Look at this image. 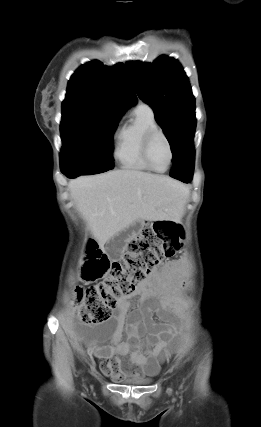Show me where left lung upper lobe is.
Here are the masks:
<instances>
[{"instance_id":"5c2ea615","label":"left lung upper lobe","mask_w":261,"mask_h":427,"mask_svg":"<svg viewBox=\"0 0 261 427\" xmlns=\"http://www.w3.org/2000/svg\"><path fill=\"white\" fill-rule=\"evenodd\" d=\"M131 78L138 96L148 103L155 119L163 129L173 154V163L183 146L193 138L195 98L180 63L160 56L153 63L128 62Z\"/></svg>"}]
</instances>
